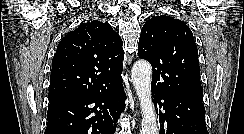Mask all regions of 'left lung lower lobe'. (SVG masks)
<instances>
[{
    "label": "left lung lower lobe",
    "instance_id": "left-lung-lower-lobe-1",
    "mask_svg": "<svg viewBox=\"0 0 244 134\" xmlns=\"http://www.w3.org/2000/svg\"><path fill=\"white\" fill-rule=\"evenodd\" d=\"M155 107L159 112L161 134H208L202 100L170 94L152 88Z\"/></svg>",
    "mask_w": 244,
    "mask_h": 134
}]
</instances>
